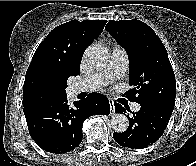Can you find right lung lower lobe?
I'll return each mask as SVG.
<instances>
[{"label": "right lung lower lobe", "instance_id": "obj_1", "mask_svg": "<svg viewBox=\"0 0 196 166\" xmlns=\"http://www.w3.org/2000/svg\"><path fill=\"white\" fill-rule=\"evenodd\" d=\"M29 134L43 150L66 153L82 141V123L91 115H109L108 98L92 93L73 105L67 96L24 106Z\"/></svg>", "mask_w": 196, "mask_h": 166}]
</instances>
